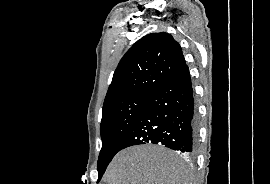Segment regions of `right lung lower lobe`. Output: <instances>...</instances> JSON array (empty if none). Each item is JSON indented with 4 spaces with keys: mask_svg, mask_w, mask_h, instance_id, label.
<instances>
[{
    "mask_svg": "<svg viewBox=\"0 0 270 184\" xmlns=\"http://www.w3.org/2000/svg\"><path fill=\"white\" fill-rule=\"evenodd\" d=\"M197 126L193 87L185 65L148 96L119 151L133 145L154 143L183 153H194Z\"/></svg>",
    "mask_w": 270,
    "mask_h": 184,
    "instance_id": "obj_1",
    "label": "right lung lower lobe"
}]
</instances>
